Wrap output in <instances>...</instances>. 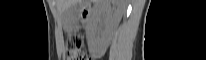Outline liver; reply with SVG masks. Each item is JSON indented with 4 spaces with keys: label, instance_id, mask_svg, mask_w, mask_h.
<instances>
[{
    "label": "liver",
    "instance_id": "6515ba94",
    "mask_svg": "<svg viewBox=\"0 0 206 60\" xmlns=\"http://www.w3.org/2000/svg\"><path fill=\"white\" fill-rule=\"evenodd\" d=\"M76 2L78 3L80 2V0H56L57 9L59 13L62 14L65 9H67L69 6ZM107 2L110 3V0H108ZM126 2V0H115V8L112 12L108 14L109 19H111L113 23V29H115L118 26L122 18V15L126 7Z\"/></svg>",
    "mask_w": 206,
    "mask_h": 60
}]
</instances>
